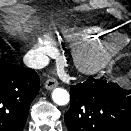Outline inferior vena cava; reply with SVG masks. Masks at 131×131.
<instances>
[{"label":"inferior vena cava","mask_w":131,"mask_h":131,"mask_svg":"<svg viewBox=\"0 0 131 131\" xmlns=\"http://www.w3.org/2000/svg\"><path fill=\"white\" fill-rule=\"evenodd\" d=\"M24 64L32 69H41L48 65L49 58L41 53H27L23 58Z\"/></svg>","instance_id":"1"}]
</instances>
